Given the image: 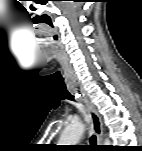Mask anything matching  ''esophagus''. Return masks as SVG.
<instances>
[{
	"label": "esophagus",
	"mask_w": 142,
	"mask_h": 151,
	"mask_svg": "<svg viewBox=\"0 0 142 151\" xmlns=\"http://www.w3.org/2000/svg\"><path fill=\"white\" fill-rule=\"evenodd\" d=\"M75 92L78 96L81 97V99L85 103L87 110H88V113H89V116H90V119H91L93 132L97 136L98 144H101L102 143V120H101V117L98 114L95 106L89 101V99L86 96L82 87L77 86L75 88Z\"/></svg>",
	"instance_id": "esophagus-1"
}]
</instances>
